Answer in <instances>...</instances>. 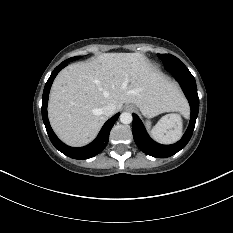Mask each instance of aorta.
<instances>
[{
  "label": "aorta",
  "instance_id": "aorta-1",
  "mask_svg": "<svg viewBox=\"0 0 233 233\" xmlns=\"http://www.w3.org/2000/svg\"><path fill=\"white\" fill-rule=\"evenodd\" d=\"M133 120L132 114L129 112H123L120 115V121L123 124H130Z\"/></svg>",
  "mask_w": 233,
  "mask_h": 233
}]
</instances>
